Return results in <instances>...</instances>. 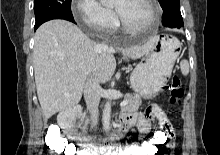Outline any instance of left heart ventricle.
I'll return each mask as SVG.
<instances>
[{
  "label": "left heart ventricle",
  "mask_w": 220,
  "mask_h": 155,
  "mask_svg": "<svg viewBox=\"0 0 220 155\" xmlns=\"http://www.w3.org/2000/svg\"><path fill=\"white\" fill-rule=\"evenodd\" d=\"M113 7L131 27L140 28L149 22L150 9L144 0H116Z\"/></svg>",
  "instance_id": "left-heart-ventricle-1"
}]
</instances>
